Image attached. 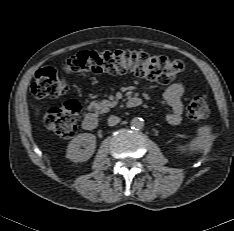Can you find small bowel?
I'll return each mask as SVG.
<instances>
[{
	"mask_svg": "<svg viewBox=\"0 0 234 231\" xmlns=\"http://www.w3.org/2000/svg\"><path fill=\"white\" fill-rule=\"evenodd\" d=\"M183 93H184V86L181 81H176L172 83L164 91L163 98L170 107V112L167 114V121L171 125H178L182 120Z\"/></svg>",
	"mask_w": 234,
	"mask_h": 231,
	"instance_id": "1",
	"label": "small bowel"
}]
</instances>
